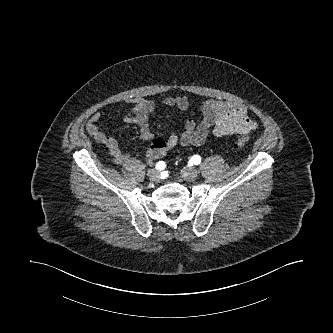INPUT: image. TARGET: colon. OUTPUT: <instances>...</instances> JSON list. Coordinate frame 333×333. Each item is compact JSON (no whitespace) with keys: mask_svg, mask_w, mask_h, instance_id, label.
<instances>
[{"mask_svg":"<svg viewBox=\"0 0 333 333\" xmlns=\"http://www.w3.org/2000/svg\"><path fill=\"white\" fill-rule=\"evenodd\" d=\"M248 141H249L248 137L241 136V137L238 138V140L236 142V145L238 147H243V146H246L248 144Z\"/></svg>","mask_w":333,"mask_h":333,"instance_id":"1","label":"colon"}]
</instances>
